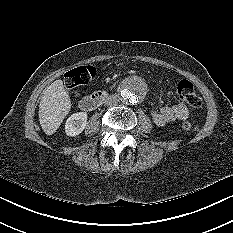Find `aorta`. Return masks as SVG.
Listing matches in <instances>:
<instances>
[{"mask_svg":"<svg viewBox=\"0 0 233 233\" xmlns=\"http://www.w3.org/2000/svg\"><path fill=\"white\" fill-rule=\"evenodd\" d=\"M145 92L144 80L139 77H132L121 85L119 96L123 103L132 105L139 103L143 99Z\"/></svg>","mask_w":233,"mask_h":233,"instance_id":"aorta-1","label":"aorta"}]
</instances>
